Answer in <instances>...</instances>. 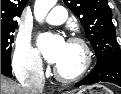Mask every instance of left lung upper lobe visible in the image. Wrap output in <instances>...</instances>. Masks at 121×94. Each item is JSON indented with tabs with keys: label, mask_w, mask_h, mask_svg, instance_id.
Segmentation results:
<instances>
[{
	"label": "left lung upper lobe",
	"mask_w": 121,
	"mask_h": 94,
	"mask_svg": "<svg viewBox=\"0 0 121 94\" xmlns=\"http://www.w3.org/2000/svg\"><path fill=\"white\" fill-rule=\"evenodd\" d=\"M64 2L80 18L98 61L121 59L108 0H64Z\"/></svg>",
	"instance_id": "obj_1"
}]
</instances>
